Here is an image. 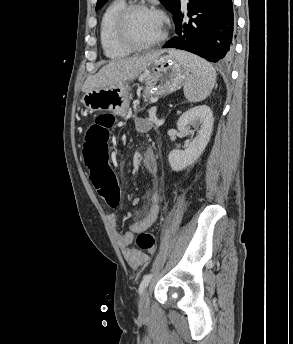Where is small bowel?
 I'll return each mask as SVG.
<instances>
[{
  "instance_id": "1",
  "label": "small bowel",
  "mask_w": 293,
  "mask_h": 344,
  "mask_svg": "<svg viewBox=\"0 0 293 344\" xmlns=\"http://www.w3.org/2000/svg\"><path fill=\"white\" fill-rule=\"evenodd\" d=\"M136 128L138 131L146 132L151 127V122L144 118L136 120ZM147 154L152 156V161L149 165L145 164V168L151 174H157L158 165L154 159L152 151H147ZM159 213V196L156 190L150 195V206L146 215L139 221L132 224L130 231L123 232L117 226V217L114 213L109 215V220L113 226L116 241L120 247L122 254L127 263L133 268L137 269L148 261V255L139 252L137 249L131 247L133 240V232H140L148 229L156 220Z\"/></svg>"
}]
</instances>
